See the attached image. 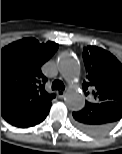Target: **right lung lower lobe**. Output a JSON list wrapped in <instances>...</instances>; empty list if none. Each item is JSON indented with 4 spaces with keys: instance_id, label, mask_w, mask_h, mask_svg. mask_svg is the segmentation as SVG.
<instances>
[{
    "instance_id": "1",
    "label": "right lung lower lobe",
    "mask_w": 122,
    "mask_h": 154,
    "mask_svg": "<svg viewBox=\"0 0 122 154\" xmlns=\"http://www.w3.org/2000/svg\"><path fill=\"white\" fill-rule=\"evenodd\" d=\"M46 116L47 115H45V116L39 118L38 120H35L34 122H32V123H30V124H28V125H26L24 127H21V128H26V127H30V126H34L36 124H39L40 122H42L46 118Z\"/></svg>"
}]
</instances>
